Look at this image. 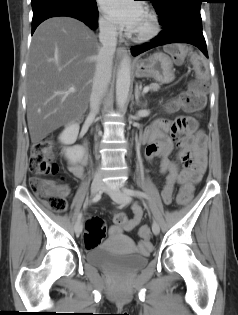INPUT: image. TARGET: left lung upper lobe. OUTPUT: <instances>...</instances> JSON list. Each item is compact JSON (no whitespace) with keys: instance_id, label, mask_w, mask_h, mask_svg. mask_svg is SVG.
Wrapping results in <instances>:
<instances>
[{"instance_id":"5c2ea615","label":"left lung upper lobe","mask_w":238,"mask_h":315,"mask_svg":"<svg viewBox=\"0 0 238 315\" xmlns=\"http://www.w3.org/2000/svg\"><path fill=\"white\" fill-rule=\"evenodd\" d=\"M153 3V6L158 15H162L183 3H201L202 0H148Z\"/></svg>"}]
</instances>
